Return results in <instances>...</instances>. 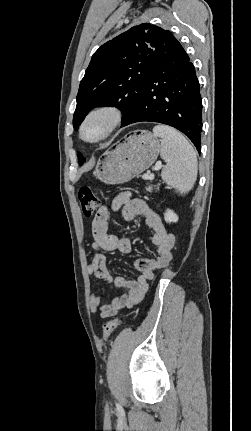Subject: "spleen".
Masks as SVG:
<instances>
[{"instance_id": "obj_1", "label": "spleen", "mask_w": 251, "mask_h": 431, "mask_svg": "<svg viewBox=\"0 0 251 431\" xmlns=\"http://www.w3.org/2000/svg\"><path fill=\"white\" fill-rule=\"evenodd\" d=\"M153 133L161 138L160 155L166 161L162 179L180 194L188 193L195 184L198 171L194 148L181 133L167 125H156Z\"/></svg>"}]
</instances>
